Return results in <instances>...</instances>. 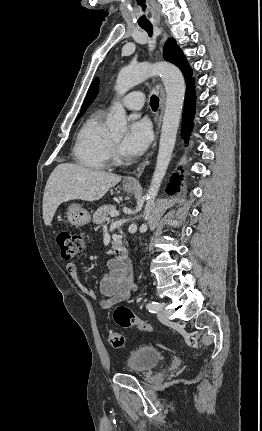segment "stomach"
<instances>
[{"mask_svg": "<svg viewBox=\"0 0 262 431\" xmlns=\"http://www.w3.org/2000/svg\"><path fill=\"white\" fill-rule=\"evenodd\" d=\"M124 190L127 193H133L135 187L125 186ZM67 218L72 225L77 227L88 224L91 220L90 213L85 208L75 203L68 207Z\"/></svg>", "mask_w": 262, "mask_h": 431, "instance_id": "obj_1", "label": "stomach"}]
</instances>
